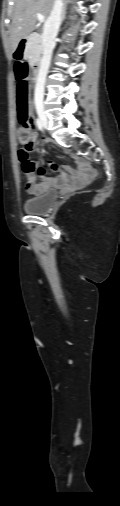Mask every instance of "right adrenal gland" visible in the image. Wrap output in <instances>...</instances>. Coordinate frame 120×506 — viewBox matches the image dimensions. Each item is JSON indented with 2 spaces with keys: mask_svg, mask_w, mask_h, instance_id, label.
I'll return each mask as SVG.
<instances>
[{
  "mask_svg": "<svg viewBox=\"0 0 120 506\" xmlns=\"http://www.w3.org/2000/svg\"><path fill=\"white\" fill-rule=\"evenodd\" d=\"M67 4H68V2L66 1V2L64 3V5H63V11H62V22L64 21L65 16H66Z\"/></svg>",
  "mask_w": 120,
  "mask_h": 506,
  "instance_id": "1",
  "label": "right adrenal gland"
}]
</instances>
